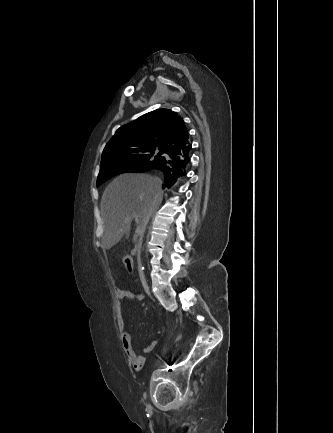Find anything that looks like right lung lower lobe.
Instances as JSON below:
<instances>
[{"label": "right lung lower lobe", "instance_id": "obj_1", "mask_svg": "<svg viewBox=\"0 0 333 433\" xmlns=\"http://www.w3.org/2000/svg\"><path fill=\"white\" fill-rule=\"evenodd\" d=\"M191 147L192 146L188 144L185 147L166 152L170 159L163 157V159L153 167V169L162 172L165 181L163 187H170L186 176V169L190 163Z\"/></svg>", "mask_w": 333, "mask_h": 433}]
</instances>
